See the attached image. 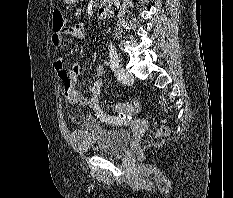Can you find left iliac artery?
I'll return each mask as SVG.
<instances>
[{
  "mask_svg": "<svg viewBox=\"0 0 233 198\" xmlns=\"http://www.w3.org/2000/svg\"><path fill=\"white\" fill-rule=\"evenodd\" d=\"M109 57H110V67L112 70H114L119 65V57L115 47L112 44H109Z\"/></svg>",
  "mask_w": 233,
  "mask_h": 198,
  "instance_id": "44dca946",
  "label": "left iliac artery"
}]
</instances>
